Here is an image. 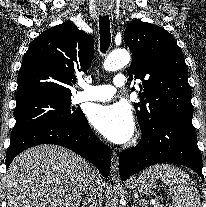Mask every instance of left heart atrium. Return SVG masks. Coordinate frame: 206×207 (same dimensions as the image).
<instances>
[{"instance_id":"1","label":"left heart atrium","mask_w":206,"mask_h":207,"mask_svg":"<svg viewBox=\"0 0 206 207\" xmlns=\"http://www.w3.org/2000/svg\"><path fill=\"white\" fill-rule=\"evenodd\" d=\"M89 119L94 128L116 144L129 141L135 131L133 114L123 103L96 105L92 108Z\"/></svg>"}]
</instances>
